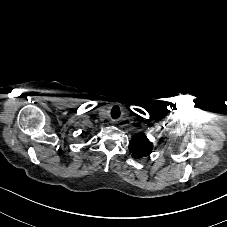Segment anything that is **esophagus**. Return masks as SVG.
Returning <instances> with one entry per match:
<instances>
[{
  "instance_id": "1",
  "label": "esophagus",
  "mask_w": 227,
  "mask_h": 227,
  "mask_svg": "<svg viewBox=\"0 0 227 227\" xmlns=\"http://www.w3.org/2000/svg\"><path fill=\"white\" fill-rule=\"evenodd\" d=\"M109 125H110V127H111V128H113V129H114V128H116V127H117V125H118V124H117V122H116V121H114V120H113V121H111V122H110V124H109Z\"/></svg>"
}]
</instances>
